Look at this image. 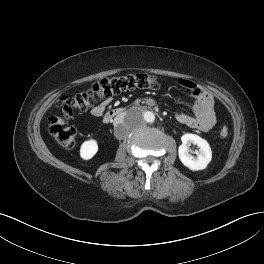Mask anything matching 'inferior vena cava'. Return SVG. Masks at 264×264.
<instances>
[{"instance_id":"1","label":"inferior vena cava","mask_w":264,"mask_h":264,"mask_svg":"<svg viewBox=\"0 0 264 264\" xmlns=\"http://www.w3.org/2000/svg\"><path fill=\"white\" fill-rule=\"evenodd\" d=\"M124 117H122V116H117V117H115V119H114V124H115V126H117V125H119V124H123V122H124Z\"/></svg>"}]
</instances>
